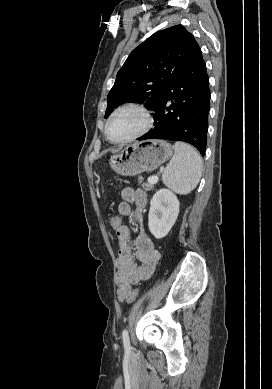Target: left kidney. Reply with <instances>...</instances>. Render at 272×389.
<instances>
[{"label": "left kidney", "mask_w": 272, "mask_h": 389, "mask_svg": "<svg viewBox=\"0 0 272 389\" xmlns=\"http://www.w3.org/2000/svg\"><path fill=\"white\" fill-rule=\"evenodd\" d=\"M179 200L168 189L158 190L150 202L148 226L157 239L165 237L174 225L179 214Z\"/></svg>", "instance_id": "obj_1"}]
</instances>
